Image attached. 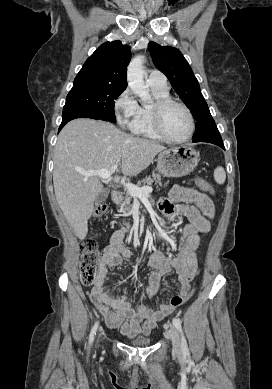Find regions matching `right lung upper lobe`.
Segmentation results:
<instances>
[{
  "label": "right lung upper lobe",
  "mask_w": 272,
  "mask_h": 389,
  "mask_svg": "<svg viewBox=\"0 0 272 389\" xmlns=\"http://www.w3.org/2000/svg\"><path fill=\"white\" fill-rule=\"evenodd\" d=\"M130 58L129 47L120 41L103 43L86 60L74 84L89 83L126 89V67Z\"/></svg>",
  "instance_id": "1"
}]
</instances>
